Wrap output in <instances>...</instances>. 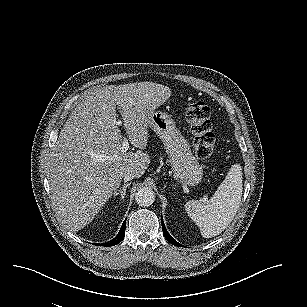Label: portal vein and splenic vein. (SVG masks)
Returning a JSON list of instances; mask_svg holds the SVG:
<instances>
[{
    "mask_svg": "<svg viewBox=\"0 0 307 307\" xmlns=\"http://www.w3.org/2000/svg\"><path fill=\"white\" fill-rule=\"evenodd\" d=\"M129 149V144L126 141L123 142V144L119 148V153L112 154V155H95V158L98 161H117L122 159L123 155L127 153V150Z\"/></svg>",
    "mask_w": 307,
    "mask_h": 307,
    "instance_id": "18ae733b",
    "label": "portal vein and splenic vein"
}]
</instances>
